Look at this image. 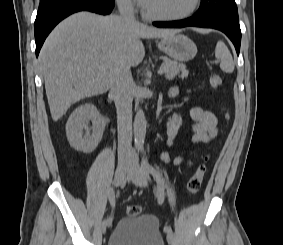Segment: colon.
Returning <instances> with one entry per match:
<instances>
[{"label":"colon","mask_w":283,"mask_h":245,"mask_svg":"<svg viewBox=\"0 0 283 245\" xmlns=\"http://www.w3.org/2000/svg\"><path fill=\"white\" fill-rule=\"evenodd\" d=\"M210 85L213 88H218L222 85L223 80L219 74H212L210 76ZM229 116L226 115V118ZM208 155L204 156L202 161L196 166L194 174L190 177L187 182V189L190 193L196 194L200 191L203 178L206 172V162L208 161ZM127 214L129 216H137L140 214V207L138 205H130L127 207Z\"/></svg>","instance_id":"5ec220e1"}]
</instances>
